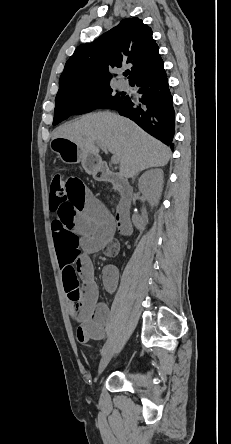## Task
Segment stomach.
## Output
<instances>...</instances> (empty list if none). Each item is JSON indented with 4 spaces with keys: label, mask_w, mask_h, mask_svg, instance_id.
<instances>
[{
    "label": "stomach",
    "mask_w": 231,
    "mask_h": 444,
    "mask_svg": "<svg viewBox=\"0 0 231 444\" xmlns=\"http://www.w3.org/2000/svg\"><path fill=\"white\" fill-rule=\"evenodd\" d=\"M51 149L64 163L74 164L81 162L83 168L89 174H97L102 167V161L99 156L84 152L74 142L66 138H53Z\"/></svg>",
    "instance_id": "stomach-1"
}]
</instances>
